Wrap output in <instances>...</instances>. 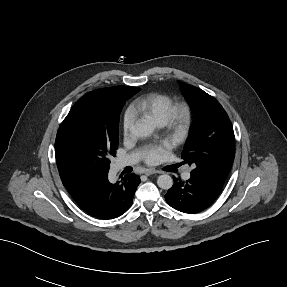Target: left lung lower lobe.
Wrapping results in <instances>:
<instances>
[{
	"mask_svg": "<svg viewBox=\"0 0 287 287\" xmlns=\"http://www.w3.org/2000/svg\"><path fill=\"white\" fill-rule=\"evenodd\" d=\"M222 187V184L191 172L187 181L174 177V184L165 195V200L178 211L194 214L208 208L216 200Z\"/></svg>",
	"mask_w": 287,
	"mask_h": 287,
	"instance_id": "0a47b994",
	"label": "left lung lower lobe"
}]
</instances>
